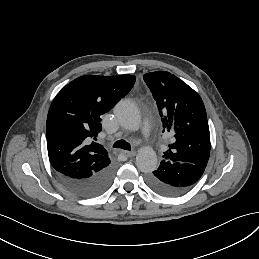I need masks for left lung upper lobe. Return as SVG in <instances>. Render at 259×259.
<instances>
[{
	"instance_id": "obj_1",
	"label": "left lung upper lobe",
	"mask_w": 259,
	"mask_h": 259,
	"mask_svg": "<svg viewBox=\"0 0 259 259\" xmlns=\"http://www.w3.org/2000/svg\"><path fill=\"white\" fill-rule=\"evenodd\" d=\"M143 78L156 100L163 132L174 133L175 140L164 152V160L206 168L210 156V133L201 97L166 71L147 73Z\"/></svg>"
}]
</instances>
